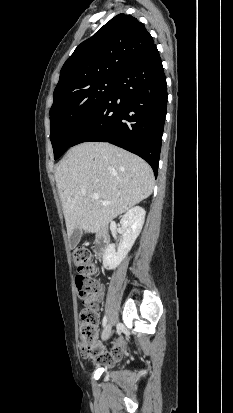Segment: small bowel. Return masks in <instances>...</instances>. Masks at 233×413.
Here are the masks:
<instances>
[{"label": "small bowel", "instance_id": "small-bowel-1", "mask_svg": "<svg viewBox=\"0 0 233 413\" xmlns=\"http://www.w3.org/2000/svg\"><path fill=\"white\" fill-rule=\"evenodd\" d=\"M104 295V289L102 286H99L98 289L91 295L89 298L84 299L83 303L87 305L89 301H94L96 303L100 302ZM121 354V345L120 343L116 344L111 351H102L99 354V359L102 357H110L111 361L115 360Z\"/></svg>", "mask_w": 233, "mask_h": 413}]
</instances>
